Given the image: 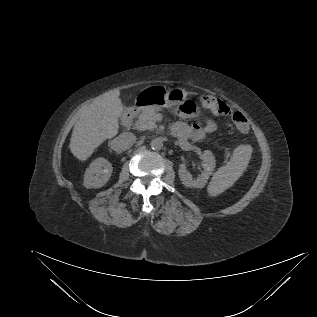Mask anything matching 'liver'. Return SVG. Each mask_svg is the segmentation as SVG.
<instances>
[{"mask_svg":"<svg viewBox=\"0 0 317 317\" xmlns=\"http://www.w3.org/2000/svg\"><path fill=\"white\" fill-rule=\"evenodd\" d=\"M118 89L108 91L85 107L76 122L69 148L80 161H86L105 140L117 135L118 117L123 112Z\"/></svg>","mask_w":317,"mask_h":317,"instance_id":"6515ba94","label":"liver"}]
</instances>
